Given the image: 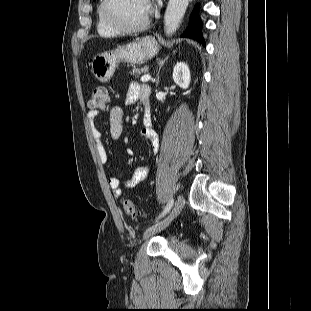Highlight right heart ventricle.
<instances>
[{"label":"right heart ventricle","instance_id":"1","mask_svg":"<svg viewBox=\"0 0 311 311\" xmlns=\"http://www.w3.org/2000/svg\"><path fill=\"white\" fill-rule=\"evenodd\" d=\"M102 3H103V0H100L96 8V31L100 36H104V37L115 36L118 33L115 30H113L111 27H109L105 23L102 17V13H101Z\"/></svg>","mask_w":311,"mask_h":311}]
</instances>
